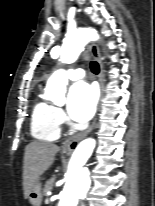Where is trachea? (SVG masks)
<instances>
[{"label": "trachea", "mask_w": 155, "mask_h": 206, "mask_svg": "<svg viewBox=\"0 0 155 206\" xmlns=\"http://www.w3.org/2000/svg\"><path fill=\"white\" fill-rule=\"evenodd\" d=\"M90 68H91V71L94 73V74H98L100 69H99V64L95 61H92L90 63Z\"/></svg>", "instance_id": "trachea-1"}]
</instances>
